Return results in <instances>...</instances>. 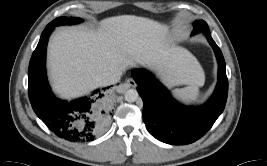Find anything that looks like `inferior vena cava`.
<instances>
[{
    "label": "inferior vena cava",
    "instance_id": "obj_1",
    "mask_svg": "<svg viewBox=\"0 0 267 166\" xmlns=\"http://www.w3.org/2000/svg\"><path fill=\"white\" fill-rule=\"evenodd\" d=\"M122 72L119 70H110L101 74L98 79L103 85L115 84L119 82Z\"/></svg>",
    "mask_w": 267,
    "mask_h": 166
}]
</instances>
